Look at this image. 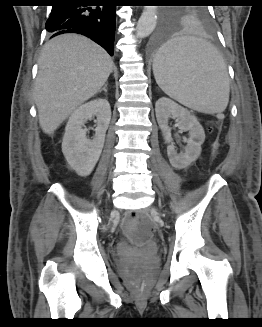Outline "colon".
Returning a JSON list of instances; mask_svg holds the SVG:
<instances>
[{
  "mask_svg": "<svg viewBox=\"0 0 262 327\" xmlns=\"http://www.w3.org/2000/svg\"><path fill=\"white\" fill-rule=\"evenodd\" d=\"M124 227L128 235L139 243L150 240L153 235V224L145 214H130Z\"/></svg>",
  "mask_w": 262,
  "mask_h": 327,
  "instance_id": "1",
  "label": "colon"
}]
</instances>
